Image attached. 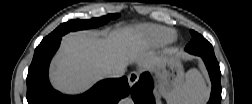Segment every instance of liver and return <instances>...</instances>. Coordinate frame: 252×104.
<instances>
[{
  "label": "liver",
  "instance_id": "6515ba94",
  "mask_svg": "<svg viewBox=\"0 0 252 104\" xmlns=\"http://www.w3.org/2000/svg\"><path fill=\"white\" fill-rule=\"evenodd\" d=\"M162 61L135 30L123 27L99 37L93 31L73 32L63 37L55 56L50 79L66 93H80L105 77L107 68L136 63L155 70Z\"/></svg>",
  "mask_w": 252,
  "mask_h": 104
}]
</instances>
